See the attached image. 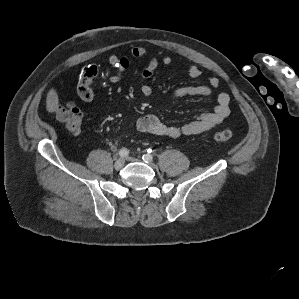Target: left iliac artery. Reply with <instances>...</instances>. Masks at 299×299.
<instances>
[{
	"instance_id": "obj_1",
	"label": "left iliac artery",
	"mask_w": 299,
	"mask_h": 299,
	"mask_svg": "<svg viewBox=\"0 0 299 299\" xmlns=\"http://www.w3.org/2000/svg\"><path fill=\"white\" fill-rule=\"evenodd\" d=\"M152 159H153V157H152L151 154H145V155L143 156V160H144L146 163L152 161Z\"/></svg>"
}]
</instances>
